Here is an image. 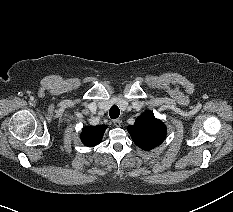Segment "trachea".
Returning a JSON list of instances; mask_svg holds the SVG:
<instances>
[{
	"mask_svg": "<svg viewBox=\"0 0 233 212\" xmlns=\"http://www.w3.org/2000/svg\"><path fill=\"white\" fill-rule=\"evenodd\" d=\"M119 114H120V110H119L118 106L113 105L109 110L110 118L116 119V118H118Z\"/></svg>",
	"mask_w": 233,
	"mask_h": 212,
	"instance_id": "trachea-1",
	"label": "trachea"
}]
</instances>
